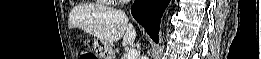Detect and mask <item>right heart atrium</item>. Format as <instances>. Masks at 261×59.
I'll use <instances>...</instances> for the list:
<instances>
[{
    "mask_svg": "<svg viewBox=\"0 0 261 59\" xmlns=\"http://www.w3.org/2000/svg\"><path fill=\"white\" fill-rule=\"evenodd\" d=\"M125 0H120V2H124Z\"/></svg>",
    "mask_w": 261,
    "mask_h": 59,
    "instance_id": "d8ad5b80",
    "label": "right heart atrium"
}]
</instances>
